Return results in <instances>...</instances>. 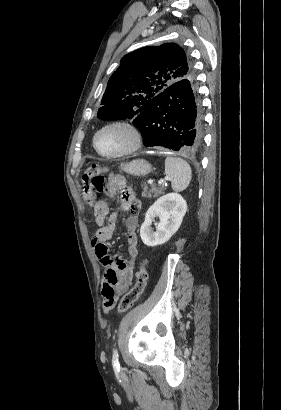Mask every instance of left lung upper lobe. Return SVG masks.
Returning a JSON list of instances; mask_svg holds the SVG:
<instances>
[{
    "label": "left lung upper lobe",
    "instance_id": "obj_1",
    "mask_svg": "<svg viewBox=\"0 0 281 410\" xmlns=\"http://www.w3.org/2000/svg\"><path fill=\"white\" fill-rule=\"evenodd\" d=\"M189 77H194L192 64L177 44L144 47L129 53L108 81L98 118L135 119L152 98Z\"/></svg>",
    "mask_w": 281,
    "mask_h": 410
}]
</instances>
